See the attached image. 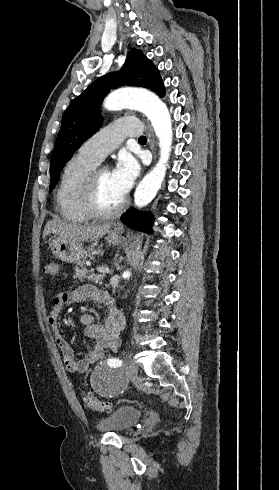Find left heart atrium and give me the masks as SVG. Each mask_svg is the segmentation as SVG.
Wrapping results in <instances>:
<instances>
[{"mask_svg":"<svg viewBox=\"0 0 279 490\" xmlns=\"http://www.w3.org/2000/svg\"><path fill=\"white\" fill-rule=\"evenodd\" d=\"M140 174L138 162L131 156H121L111 171V181L120 198H124Z\"/></svg>","mask_w":279,"mask_h":490,"instance_id":"1","label":"left heart atrium"}]
</instances>
